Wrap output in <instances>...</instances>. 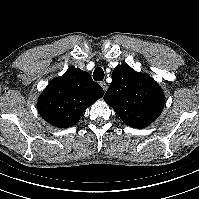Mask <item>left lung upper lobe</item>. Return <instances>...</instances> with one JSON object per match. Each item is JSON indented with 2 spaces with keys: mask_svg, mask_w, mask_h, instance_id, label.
Instances as JSON below:
<instances>
[{
  "mask_svg": "<svg viewBox=\"0 0 199 199\" xmlns=\"http://www.w3.org/2000/svg\"><path fill=\"white\" fill-rule=\"evenodd\" d=\"M112 76L104 100L125 124L145 128L158 118L165 98L161 87L151 77L127 65L117 66Z\"/></svg>",
  "mask_w": 199,
  "mask_h": 199,
  "instance_id": "5c2ea615",
  "label": "left lung upper lobe"
}]
</instances>
